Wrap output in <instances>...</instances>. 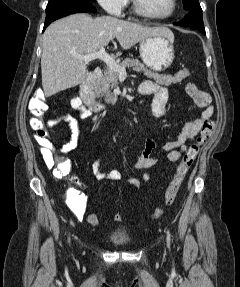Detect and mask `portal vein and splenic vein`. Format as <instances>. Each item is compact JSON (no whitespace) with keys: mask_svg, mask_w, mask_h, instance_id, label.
Masks as SVG:
<instances>
[{"mask_svg":"<svg viewBox=\"0 0 240 287\" xmlns=\"http://www.w3.org/2000/svg\"><path fill=\"white\" fill-rule=\"evenodd\" d=\"M75 57L79 60H83L86 63L94 60L100 59L106 65L114 71L119 73V76H126V67L120 66L106 51L104 47H101L98 51L89 53L86 55H75Z\"/></svg>","mask_w":240,"mask_h":287,"instance_id":"portal-vein-and-splenic-vein-1","label":"portal vein and splenic vein"}]
</instances>
